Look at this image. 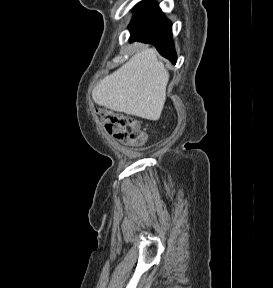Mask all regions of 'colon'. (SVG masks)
<instances>
[{"mask_svg": "<svg viewBox=\"0 0 273 288\" xmlns=\"http://www.w3.org/2000/svg\"><path fill=\"white\" fill-rule=\"evenodd\" d=\"M97 114L107 132L117 142L124 145L139 146L146 141L145 132L133 117L108 109H99Z\"/></svg>", "mask_w": 273, "mask_h": 288, "instance_id": "colon-1", "label": "colon"}]
</instances>
